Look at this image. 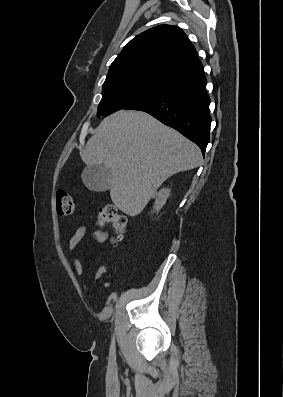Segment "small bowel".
<instances>
[{
  "mask_svg": "<svg viewBox=\"0 0 283 397\" xmlns=\"http://www.w3.org/2000/svg\"><path fill=\"white\" fill-rule=\"evenodd\" d=\"M86 234H87V227L83 224L78 226L74 234L68 241V251L71 253L74 252L77 246L79 245V243L84 239ZM91 238L96 242L103 243L108 238V232L102 229L94 230L91 233ZM74 266H75L76 274L81 276L83 274V265L77 256L75 257ZM105 272H106V268L104 266L99 267L95 273V280L97 281L100 280L102 276L105 274ZM82 287L86 292H90V288L86 283L83 282Z\"/></svg>",
  "mask_w": 283,
  "mask_h": 397,
  "instance_id": "obj_1",
  "label": "small bowel"
}]
</instances>
